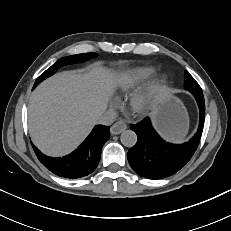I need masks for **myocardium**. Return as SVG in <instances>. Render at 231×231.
Listing matches in <instances>:
<instances>
[{"mask_svg": "<svg viewBox=\"0 0 231 231\" xmlns=\"http://www.w3.org/2000/svg\"><path fill=\"white\" fill-rule=\"evenodd\" d=\"M167 87V78L162 76L132 93L128 99V109L136 116L149 114L161 100Z\"/></svg>", "mask_w": 231, "mask_h": 231, "instance_id": "myocardium-1", "label": "myocardium"}]
</instances>
